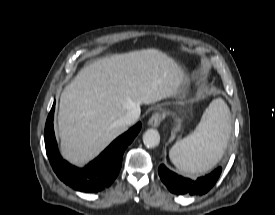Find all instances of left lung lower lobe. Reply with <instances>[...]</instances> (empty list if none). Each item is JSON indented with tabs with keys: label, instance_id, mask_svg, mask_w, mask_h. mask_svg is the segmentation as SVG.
<instances>
[{
	"label": "left lung lower lobe",
	"instance_id": "obj_1",
	"mask_svg": "<svg viewBox=\"0 0 275 215\" xmlns=\"http://www.w3.org/2000/svg\"><path fill=\"white\" fill-rule=\"evenodd\" d=\"M222 168L215 169L208 175L197 179L185 178L170 171L163 164L158 168V174L162 182L170 192L177 195H203L207 193L216 183Z\"/></svg>",
	"mask_w": 275,
	"mask_h": 215
}]
</instances>
